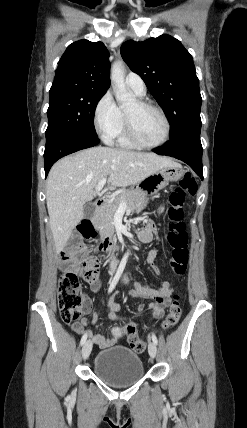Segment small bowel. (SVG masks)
<instances>
[{"instance_id":"c3829d8e","label":"small bowel","mask_w":247,"mask_h":428,"mask_svg":"<svg viewBox=\"0 0 247 428\" xmlns=\"http://www.w3.org/2000/svg\"><path fill=\"white\" fill-rule=\"evenodd\" d=\"M162 210H163V208H160V212H162ZM151 231H152V227L150 225L143 228V229H140L138 231L139 240L142 242H149L151 240ZM157 255H158V250L152 249L147 256L148 265H150L155 271L158 270V268L154 266V262L157 258ZM79 271H80V274L83 277V279L88 281L91 284L92 290L94 292L99 291V289L101 287V282L98 279V277L95 280H89L88 276H87V272L85 271L83 265L81 268H79ZM172 292H173V288H172L171 283L168 280H165L157 288L150 287L147 285L138 284V285H136V288H135L133 295L136 297L151 298L154 300L152 303H155L156 299H158V298H163L165 301L169 302V299H170ZM107 304H108V307L110 309L109 317L113 321L123 322L126 325H128V324L135 325L133 322L127 323V320H128L127 318L117 315V312L120 310L121 307L112 298H110L108 300ZM149 308L151 309V303L149 304ZM90 311H91V303H90V301L87 300L85 303V314L90 313ZM85 324H86V320L83 319L82 323L73 324L72 328L77 333H81L84 329ZM92 339L101 348L109 347L114 342V340L106 339L105 337H103L100 334L93 335Z\"/></svg>"}]
</instances>
